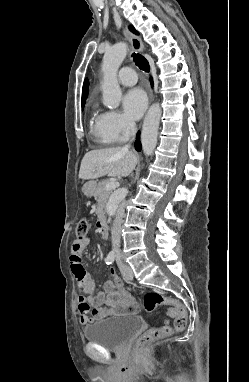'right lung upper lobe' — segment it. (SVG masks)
Listing matches in <instances>:
<instances>
[{"mask_svg": "<svg viewBox=\"0 0 249 382\" xmlns=\"http://www.w3.org/2000/svg\"><path fill=\"white\" fill-rule=\"evenodd\" d=\"M87 95H88V80L86 79L83 84V90H82V107H84Z\"/></svg>", "mask_w": 249, "mask_h": 382, "instance_id": "cb5924a9", "label": "right lung upper lobe"}]
</instances>
